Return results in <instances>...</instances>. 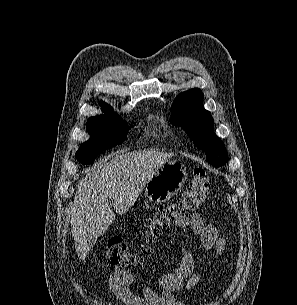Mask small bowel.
I'll return each instance as SVG.
<instances>
[{"label":"small bowel","mask_w":297,"mask_h":305,"mask_svg":"<svg viewBox=\"0 0 297 305\" xmlns=\"http://www.w3.org/2000/svg\"><path fill=\"white\" fill-rule=\"evenodd\" d=\"M176 226L184 232L196 235L204 250L213 251L216 256L224 253L226 239L219 235L214 225L206 223L199 214L181 217ZM200 281L201 273L195 268L194 256L188 250L182 251L179 262L170 272L159 276L157 286L161 292L153 286L145 285L141 294L134 293L131 287L135 279L129 271H114L109 276L111 290L126 305H186L176 300L175 293L192 290Z\"/></svg>","instance_id":"obj_1"}]
</instances>
